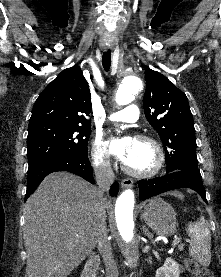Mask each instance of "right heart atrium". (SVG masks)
Instances as JSON below:
<instances>
[{
  "instance_id": "obj_1",
  "label": "right heart atrium",
  "mask_w": 221,
  "mask_h": 277,
  "mask_svg": "<svg viewBox=\"0 0 221 277\" xmlns=\"http://www.w3.org/2000/svg\"><path fill=\"white\" fill-rule=\"evenodd\" d=\"M91 158L94 167L99 171L108 172L111 169L107 143L100 135L96 136L93 141Z\"/></svg>"
}]
</instances>
